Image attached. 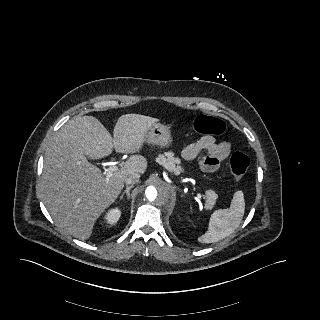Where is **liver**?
<instances>
[{
	"label": "liver",
	"instance_id": "6515ba94",
	"mask_svg": "<svg viewBox=\"0 0 320 320\" xmlns=\"http://www.w3.org/2000/svg\"><path fill=\"white\" fill-rule=\"evenodd\" d=\"M158 121L139 114L122 115L113 138L93 116L75 117L61 127L46 151L41 183L43 202L59 228L80 240L90 238L96 220L121 193L125 178L143 174L147 160L132 155L119 170L108 174L86 156L102 159L113 149L137 153L147 129Z\"/></svg>",
	"mask_w": 320,
	"mask_h": 320
}]
</instances>
